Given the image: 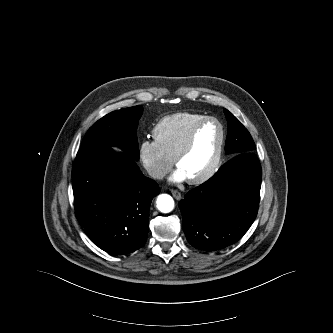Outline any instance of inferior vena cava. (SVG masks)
<instances>
[{
	"label": "inferior vena cava",
	"instance_id": "inferior-vena-cava-1",
	"mask_svg": "<svg viewBox=\"0 0 333 333\" xmlns=\"http://www.w3.org/2000/svg\"><path fill=\"white\" fill-rule=\"evenodd\" d=\"M147 172L148 174L154 178V179H163L166 175V172L162 169H160L159 167H155V166H152V167H149L147 169Z\"/></svg>",
	"mask_w": 333,
	"mask_h": 333
}]
</instances>
